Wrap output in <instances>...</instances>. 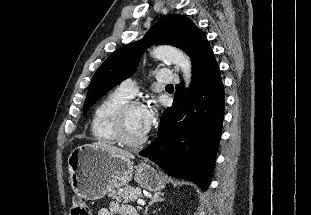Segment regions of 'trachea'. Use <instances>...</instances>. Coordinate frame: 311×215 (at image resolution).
Here are the masks:
<instances>
[{
	"instance_id": "trachea-1",
	"label": "trachea",
	"mask_w": 311,
	"mask_h": 215,
	"mask_svg": "<svg viewBox=\"0 0 311 215\" xmlns=\"http://www.w3.org/2000/svg\"><path fill=\"white\" fill-rule=\"evenodd\" d=\"M167 87H173V85L172 84H168Z\"/></svg>"
}]
</instances>
